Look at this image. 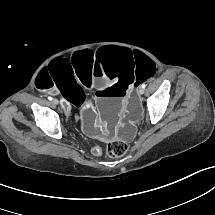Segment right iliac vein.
Wrapping results in <instances>:
<instances>
[{
	"mask_svg": "<svg viewBox=\"0 0 215 215\" xmlns=\"http://www.w3.org/2000/svg\"><path fill=\"white\" fill-rule=\"evenodd\" d=\"M53 104L57 105L58 104V100L57 99H53Z\"/></svg>",
	"mask_w": 215,
	"mask_h": 215,
	"instance_id": "right-iliac-vein-1",
	"label": "right iliac vein"
}]
</instances>
